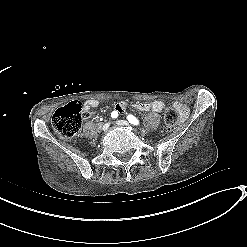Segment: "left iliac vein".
<instances>
[{
    "mask_svg": "<svg viewBox=\"0 0 247 247\" xmlns=\"http://www.w3.org/2000/svg\"><path fill=\"white\" fill-rule=\"evenodd\" d=\"M116 123L121 126H129V123L125 120H117Z\"/></svg>",
    "mask_w": 247,
    "mask_h": 247,
    "instance_id": "4c4485c4",
    "label": "left iliac vein"
}]
</instances>
